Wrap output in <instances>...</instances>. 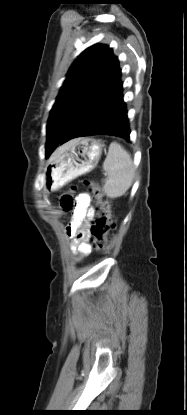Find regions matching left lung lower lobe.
Instances as JSON below:
<instances>
[{
	"instance_id": "left-lung-lower-lobe-1",
	"label": "left lung lower lobe",
	"mask_w": 187,
	"mask_h": 415,
	"mask_svg": "<svg viewBox=\"0 0 187 415\" xmlns=\"http://www.w3.org/2000/svg\"><path fill=\"white\" fill-rule=\"evenodd\" d=\"M123 83L117 57L112 55L93 84L90 99L97 102L92 114L79 119L67 130L60 144L82 136L109 135L130 140Z\"/></svg>"
}]
</instances>
